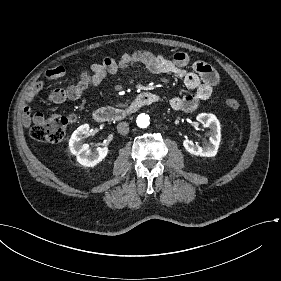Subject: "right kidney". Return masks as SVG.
Instances as JSON below:
<instances>
[{"label": "right kidney", "mask_w": 281, "mask_h": 281, "mask_svg": "<svg viewBox=\"0 0 281 281\" xmlns=\"http://www.w3.org/2000/svg\"><path fill=\"white\" fill-rule=\"evenodd\" d=\"M90 134V125L84 123L73 132L69 141L71 152L76 155L78 162L84 167H93L100 163L107 157L109 150L108 146H105L91 152L89 145L84 143Z\"/></svg>", "instance_id": "obj_1"}]
</instances>
